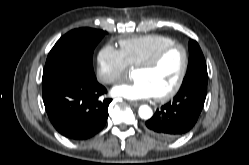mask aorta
Returning <instances> with one entry per match:
<instances>
[{"label": "aorta", "mask_w": 249, "mask_h": 165, "mask_svg": "<svg viewBox=\"0 0 249 165\" xmlns=\"http://www.w3.org/2000/svg\"><path fill=\"white\" fill-rule=\"evenodd\" d=\"M153 115L152 109L148 105H142L139 107V116L142 119H149Z\"/></svg>", "instance_id": "aorta-1"}]
</instances>
